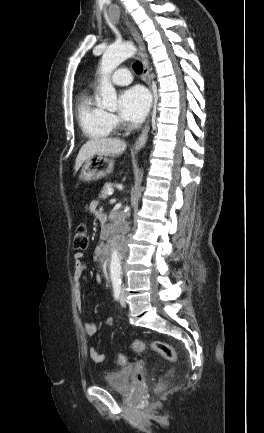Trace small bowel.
<instances>
[{
    "label": "small bowel",
    "mask_w": 264,
    "mask_h": 433,
    "mask_svg": "<svg viewBox=\"0 0 264 433\" xmlns=\"http://www.w3.org/2000/svg\"><path fill=\"white\" fill-rule=\"evenodd\" d=\"M97 208H98V202L97 201H92L89 204V209L91 212L97 214L98 213ZM84 271H85V263L83 261V253L77 252L74 255V272H73V275H74V279L77 281L76 304H77V307L79 310H81L82 301H81L80 287H79L78 282L82 278ZM95 281H96V283H101L102 282L101 275H99V274L96 275ZM105 322L107 325H113L114 319L112 317H109L106 319ZM84 330L88 336H93L97 333V325L92 321H87L84 323ZM89 355H90V358L96 363H101L104 360V355L102 353H100L96 348L90 349Z\"/></svg>",
    "instance_id": "c3829d8e"
}]
</instances>
